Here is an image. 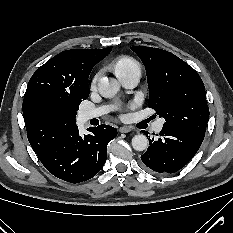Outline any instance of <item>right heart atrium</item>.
Listing matches in <instances>:
<instances>
[{
    "mask_svg": "<svg viewBox=\"0 0 233 233\" xmlns=\"http://www.w3.org/2000/svg\"><path fill=\"white\" fill-rule=\"evenodd\" d=\"M99 76H100L99 73L96 74V75L94 76V78H93V80H92V86H95V84L97 83V81H98V79H99Z\"/></svg>",
    "mask_w": 233,
    "mask_h": 233,
    "instance_id": "right-heart-atrium-1",
    "label": "right heart atrium"
}]
</instances>
